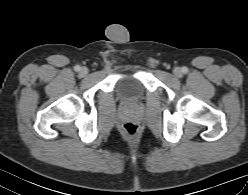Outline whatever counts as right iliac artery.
<instances>
[{"instance_id": "obj_1", "label": "right iliac artery", "mask_w": 248, "mask_h": 195, "mask_svg": "<svg viewBox=\"0 0 248 195\" xmlns=\"http://www.w3.org/2000/svg\"><path fill=\"white\" fill-rule=\"evenodd\" d=\"M74 70L78 72V71L81 70V67H80L79 65H76V66L74 67Z\"/></svg>"}]
</instances>
